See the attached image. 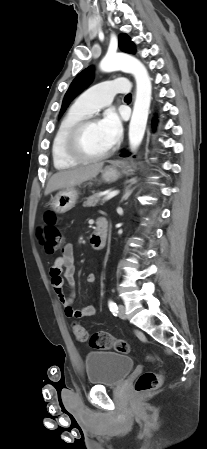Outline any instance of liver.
<instances>
[{
    "mask_svg": "<svg viewBox=\"0 0 207 449\" xmlns=\"http://www.w3.org/2000/svg\"><path fill=\"white\" fill-rule=\"evenodd\" d=\"M103 167V163L81 166L74 169L60 171L54 174L48 181L45 195L59 189L71 188L88 181L98 175Z\"/></svg>",
    "mask_w": 207,
    "mask_h": 449,
    "instance_id": "6515ba94",
    "label": "liver"
}]
</instances>
